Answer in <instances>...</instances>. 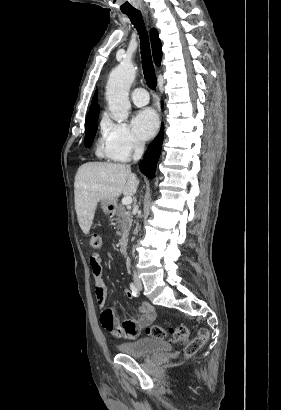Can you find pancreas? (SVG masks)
Listing matches in <instances>:
<instances>
[{"label":"pancreas","mask_w":281,"mask_h":410,"mask_svg":"<svg viewBox=\"0 0 281 410\" xmlns=\"http://www.w3.org/2000/svg\"><path fill=\"white\" fill-rule=\"evenodd\" d=\"M115 216L118 224L117 234L126 237L132 225V214L123 205L117 204Z\"/></svg>","instance_id":"cf45deb5"}]
</instances>
